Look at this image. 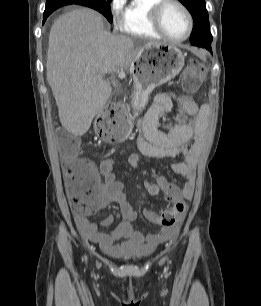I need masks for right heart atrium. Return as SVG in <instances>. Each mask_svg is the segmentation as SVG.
<instances>
[{
  "mask_svg": "<svg viewBox=\"0 0 261 306\" xmlns=\"http://www.w3.org/2000/svg\"><path fill=\"white\" fill-rule=\"evenodd\" d=\"M123 0H111L110 1V13L113 25L119 27L121 25Z\"/></svg>",
  "mask_w": 261,
  "mask_h": 306,
  "instance_id": "1",
  "label": "right heart atrium"
}]
</instances>
